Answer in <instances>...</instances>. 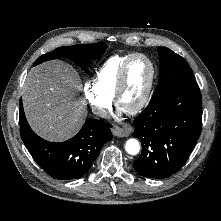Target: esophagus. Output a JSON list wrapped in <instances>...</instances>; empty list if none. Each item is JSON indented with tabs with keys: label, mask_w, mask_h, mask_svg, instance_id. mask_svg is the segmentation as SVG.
Here are the masks:
<instances>
[{
	"label": "esophagus",
	"mask_w": 221,
	"mask_h": 221,
	"mask_svg": "<svg viewBox=\"0 0 221 221\" xmlns=\"http://www.w3.org/2000/svg\"><path fill=\"white\" fill-rule=\"evenodd\" d=\"M112 133L117 137H127L129 135V132L125 129H122L118 126H114L111 128Z\"/></svg>",
	"instance_id": "34e87169"
}]
</instances>
